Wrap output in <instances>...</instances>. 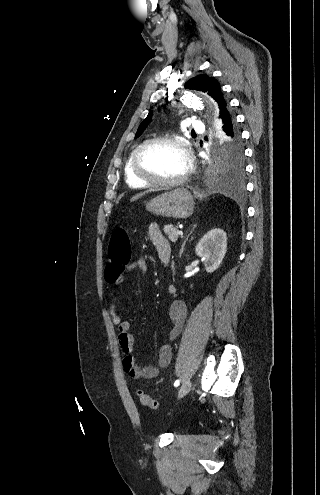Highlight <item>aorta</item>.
<instances>
[{
  "label": "aorta",
  "mask_w": 320,
  "mask_h": 495,
  "mask_svg": "<svg viewBox=\"0 0 320 495\" xmlns=\"http://www.w3.org/2000/svg\"><path fill=\"white\" fill-rule=\"evenodd\" d=\"M203 101L207 102L213 108H215V102L207 95V94H198L195 95H185L183 98V103L187 106L193 108H203ZM217 183L222 186H229V183L224 179L217 180Z\"/></svg>",
  "instance_id": "aorta-1"
}]
</instances>
